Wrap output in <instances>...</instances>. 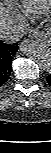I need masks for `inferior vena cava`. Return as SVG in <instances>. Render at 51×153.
Segmentation results:
<instances>
[{"mask_svg":"<svg viewBox=\"0 0 51 153\" xmlns=\"http://www.w3.org/2000/svg\"><path fill=\"white\" fill-rule=\"evenodd\" d=\"M24 35V30L17 25H9L0 30V38L3 42L13 44Z\"/></svg>","mask_w":51,"mask_h":153,"instance_id":"1","label":"inferior vena cava"}]
</instances>
